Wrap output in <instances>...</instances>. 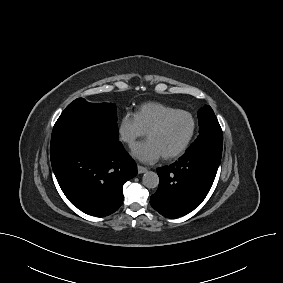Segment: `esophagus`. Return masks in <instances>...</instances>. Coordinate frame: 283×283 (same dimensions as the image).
Here are the masks:
<instances>
[{"label": "esophagus", "mask_w": 283, "mask_h": 283, "mask_svg": "<svg viewBox=\"0 0 283 283\" xmlns=\"http://www.w3.org/2000/svg\"><path fill=\"white\" fill-rule=\"evenodd\" d=\"M137 169H138L139 174L145 173L147 171L146 167H143V166H140V165L137 166Z\"/></svg>", "instance_id": "esophagus-1"}]
</instances>
